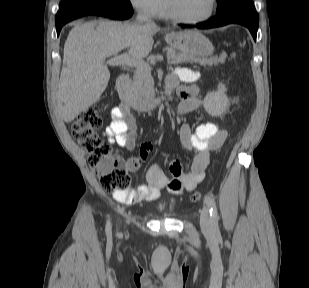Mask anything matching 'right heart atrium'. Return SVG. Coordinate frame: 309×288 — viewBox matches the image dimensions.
Returning <instances> with one entry per match:
<instances>
[{
  "label": "right heart atrium",
  "instance_id": "right-heart-atrium-1",
  "mask_svg": "<svg viewBox=\"0 0 309 288\" xmlns=\"http://www.w3.org/2000/svg\"><path fill=\"white\" fill-rule=\"evenodd\" d=\"M130 5L141 14L149 17L160 15L164 0H129Z\"/></svg>",
  "mask_w": 309,
  "mask_h": 288
}]
</instances>
